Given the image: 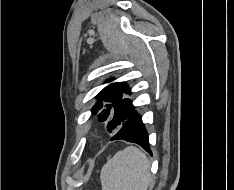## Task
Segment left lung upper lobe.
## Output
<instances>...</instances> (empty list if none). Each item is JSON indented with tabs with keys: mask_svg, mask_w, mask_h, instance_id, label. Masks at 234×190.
Returning a JSON list of instances; mask_svg holds the SVG:
<instances>
[{
	"mask_svg": "<svg viewBox=\"0 0 234 190\" xmlns=\"http://www.w3.org/2000/svg\"><path fill=\"white\" fill-rule=\"evenodd\" d=\"M130 94L125 82H116L105 87L96 96L98 101L91 111L93 114L98 113L99 121H107L109 133L117 132L134 110L131 100L126 98Z\"/></svg>",
	"mask_w": 234,
	"mask_h": 190,
	"instance_id": "left-lung-upper-lobe-1",
	"label": "left lung upper lobe"
}]
</instances>
